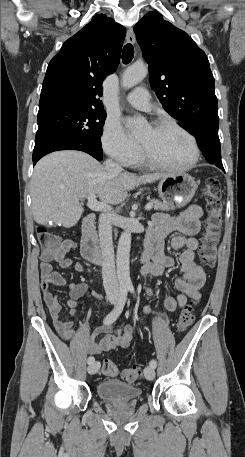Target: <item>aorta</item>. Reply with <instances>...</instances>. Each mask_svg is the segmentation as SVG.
Wrapping results in <instances>:
<instances>
[{"mask_svg":"<svg viewBox=\"0 0 245 457\" xmlns=\"http://www.w3.org/2000/svg\"><path fill=\"white\" fill-rule=\"evenodd\" d=\"M147 72V68L143 64H134L128 67L122 77V86L128 89L136 86L146 77ZM128 122L134 131H139L146 126V121L143 118L130 119ZM130 248L131 233L124 231L119 238L116 254L117 277L121 286L131 285Z\"/></svg>","mask_w":245,"mask_h":457,"instance_id":"obj_1","label":"aorta"}]
</instances>
